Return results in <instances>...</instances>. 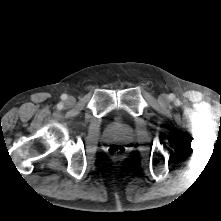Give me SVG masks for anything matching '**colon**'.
Here are the masks:
<instances>
[{
	"instance_id": "1",
	"label": "colon",
	"mask_w": 221,
	"mask_h": 221,
	"mask_svg": "<svg viewBox=\"0 0 221 221\" xmlns=\"http://www.w3.org/2000/svg\"><path fill=\"white\" fill-rule=\"evenodd\" d=\"M108 153L113 157H121L125 153V148L120 144H113L108 148Z\"/></svg>"
}]
</instances>
